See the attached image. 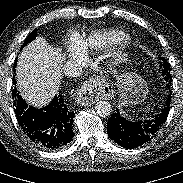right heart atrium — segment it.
Returning <instances> with one entry per match:
<instances>
[{"label":"right heart atrium","mask_w":183,"mask_h":183,"mask_svg":"<svg viewBox=\"0 0 183 183\" xmlns=\"http://www.w3.org/2000/svg\"><path fill=\"white\" fill-rule=\"evenodd\" d=\"M71 55L75 58L82 59V54L75 48H71Z\"/></svg>","instance_id":"1"}]
</instances>
